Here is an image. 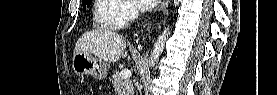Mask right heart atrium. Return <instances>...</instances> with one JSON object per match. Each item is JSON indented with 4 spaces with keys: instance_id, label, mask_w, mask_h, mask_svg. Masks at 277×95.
I'll list each match as a JSON object with an SVG mask.
<instances>
[{
    "instance_id": "1",
    "label": "right heart atrium",
    "mask_w": 277,
    "mask_h": 95,
    "mask_svg": "<svg viewBox=\"0 0 277 95\" xmlns=\"http://www.w3.org/2000/svg\"><path fill=\"white\" fill-rule=\"evenodd\" d=\"M137 9L132 4H126L122 10V16L126 21H130L135 18Z\"/></svg>"
}]
</instances>
